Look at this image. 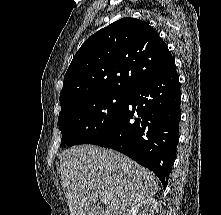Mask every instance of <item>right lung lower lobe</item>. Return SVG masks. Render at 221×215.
I'll return each instance as SVG.
<instances>
[{
    "label": "right lung lower lobe",
    "instance_id": "obj_1",
    "mask_svg": "<svg viewBox=\"0 0 221 215\" xmlns=\"http://www.w3.org/2000/svg\"><path fill=\"white\" fill-rule=\"evenodd\" d=\"M125 108L95 144L117 150L152 170L167 185L179 133L180 90L174 59L126 95Z\"/></svg>",
    "mask_w": 221,
    "mask_h": 215
}]
</instances>
